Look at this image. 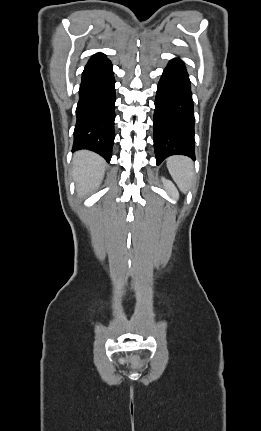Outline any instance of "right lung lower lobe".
<instances>
[{"mask_svg": "<svg viewBox=\"0 0 261 431\" xmlns=\"http://www.w3.org/2000/svg\"><path fill=\"white\" fill-rule=\"evenodd\" d=\"M114 85L111 62L102 53L93 55L82 73L73 151L88 149L110 161L115 137Z\"/></svg>", "mask_w": 261, "mask_h": 431, "instance_id": "1", "label": "right lung lower lobe"}]
</instances>
